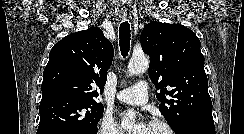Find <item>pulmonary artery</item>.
Returning <instances> with one entry per match:
<instances>
[{
  "label": "pulmonary artery",
  "instance_id": "obj_1",
  "mask_svg": "<svg viewBox=\"0 0 244 134\" xmlns=\"http://www.w3.org/2000/svg\"><path fill=\"white\" fill-rule=\"evenodd\" d=\"M117 99L121 102L141 105L148 99V84L145 81H139L134 86L126 88L117 94Z\"/></svg>",
  "mask_w": 244,
  "mask_h": 134
}]
</instances>
